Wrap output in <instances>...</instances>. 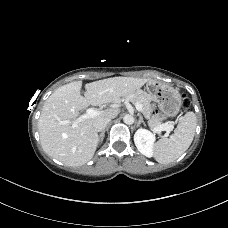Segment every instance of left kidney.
Wrapping results in <instances>:
<instances>
[{"label":"left kidney","instance_id":"left-kidney-1","mask_svg":"<svg viewBox=\"0 0 228 228\" xmlns=\"http://www.w3.org/2000/svg\"><path fill=\"white\" fill-rule=\"evenodd\" d=\"M155 136L147 129L140 128L134 134V143L140 153L146 157L153 156Z\"/></svg>","mask_w":228,"mask_h":228}]
</instances>
